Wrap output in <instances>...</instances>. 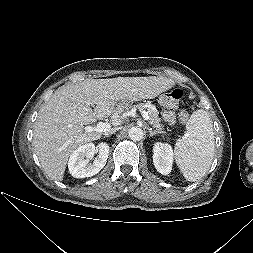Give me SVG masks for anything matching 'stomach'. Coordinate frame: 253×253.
<instances>
[{"mask_svg":"<svg viewBox=\"0 0 253 253\" xmlns=\"http://www.w3.org/2000/svg\"><path fill=\"white\" fill-rule=\"evenodd\" d=\"M169 97L166 95V94H163L161 95L160 97V102L163 104V105H166L167 103V99ZM132 107V102L130 99L128 98H123V99H119L116 101L115 103V108L117 111L119 112H124V111H128L130 110Z\"/></svg>","mask_w":253,"mask_h":253,"instance_id":"1","label":"stomach"}]
</instances>
